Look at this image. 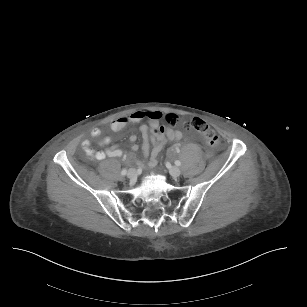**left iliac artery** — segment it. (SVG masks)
Returning a JSON list of instances; mask_svg holds the SVG:
<instances>
[{"label": "left iliac artery", "instance_id": "44dca946", "mask_svg": "<svg viewBox=\"0 0 307 307\" xmlns=\"http://www.w3.org/2000/svg\"><path fill=\"white\" fill-rule=\"evenodd\" d=\"M175 165H176V166H180V165H181V162H180L179 160H176V161H175Z\"/></svg>", "mask_w": 307, "mask_h": 307}]
</instances>
